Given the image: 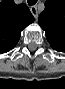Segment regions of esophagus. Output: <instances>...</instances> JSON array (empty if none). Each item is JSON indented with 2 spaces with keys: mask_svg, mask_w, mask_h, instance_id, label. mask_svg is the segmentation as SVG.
Returning a JSON list of instances; mask_svg holds the SVG:
<instances>
[{
  "mask_svg": "<svg viewBox=\"0 0 65 89\" xmlns=\"http://www.w3.org/2000/svg\"><path fill=\"white\" fill-rule=\"evenodd\" d=\"M30 11H31L32 15H33L35 18H37V16H38L37 7H36V6H32V7L30 8Z\"/></svg>",
  "mask_w": 65,
  "mask_h": 89,
  "instance_id": "1",
  "label": "esophagus"
}]
</instances>
